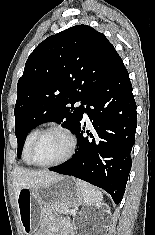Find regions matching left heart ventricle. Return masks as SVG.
<instances>
[{"label":"left heart ventricle","instance_id":"1","mask_svg":"<svg viewBox=\"0 0 155 235\" xmlns=\"http://www.w3.org/2000/svg\"><path fill=\"white\" fill-rule=\"evenodd\" d=\"M69 149L67 137L58 131L45 134L36 144L33 157L38 163H52L63 158Z\"/></svg>","mask_w":155,"mask_h":235}]
</instances>
